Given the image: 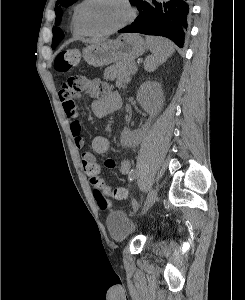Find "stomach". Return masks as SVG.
I'll return each instance as SVG.
<instances>
[{"mask_svg": "<svg viewBox=\"0 0 245 300\" xmlns=\"http://www.w3.org/2000/svg\"><path fill=\"white\" fill-rule=\"evenodd\" d=\"M146 48V42L140 35L122 34L116 40H108L86 47L83 50V57L89 65L102 67L139 57Z\"/></svg>", "mask_w": 245, "mask_h": 300, "instance_id": "stomach-1", "label": "stomach"}]
</instances>
